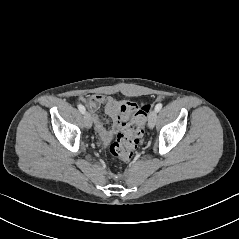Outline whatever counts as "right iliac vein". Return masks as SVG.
<instances>
[{
	"label": "right iliac vein",
	"instance_id": "obj_1",
	"mask_svg": "<svg viewBox=\"0 0 239 239\" xmlns=\"http://www.w3.org/2000/svg\"><path fill=\"white\" fill-rule=\"evenodd\" d=\"M83 121H84V125H85V127L87 129L91 128V126H92V119H91V115L88 112L84 113Z\"/></svg>",
	"mask_w": 239,
	"mask_h": 239
}]
</instances>
